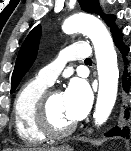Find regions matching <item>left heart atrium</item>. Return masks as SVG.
Segmentation results:
<instances>
[{
    "label": "left heart atrium",
    "instance_id": "39dd6f15",
    "mask_svg": "<svg viewBox=\"0 0 131 151\" xmlns=\"http://www.w3.org/2000/svg\"><path fill=\"white\" fill-rule=\"evenodd\" d=\"M62 95L69 119L75 122L87 114L91 106L92 95L89 86L84 81H72Z\"/></svg>",
    "mask_w": 131,
    "mask_h": 151
}]
</instances>
